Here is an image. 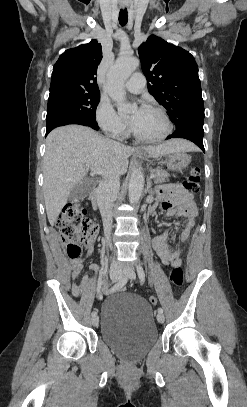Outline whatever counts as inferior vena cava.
Listing matches in <instances>:
<instances>
[{
    "instance_id": "1",
    "label": "inferior vena cava",
    "mask_w": 247,
    "mask_h": 407,
    "mask_svg": "<svg viewBox=\"0 0 247 407\" xmlns=\"http://www.w3.org/2000/svg\"><path fill=\"white\" fill-rule=\"evenodd\" d=\"M120 187L119 176H109L104 178L98 187V202L102 216L104 232L109 240L112 228V205L116 200Z\"/></svg>"
}]
</instances>
